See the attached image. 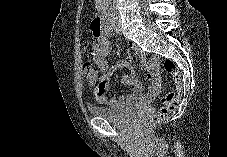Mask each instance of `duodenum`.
Returning <instances> with one entry per match:
<instances>
[{"label":"duodenum","instance_id":"410a0bca","mask_svg":"<svg viewBox=\"0 0 227 157\" xmlns=\"http://www.w3.org/2000/svg\"><path fill=\"white\" fill-rule=\"evenodd\" d=\"M108 29V23L105 16L101 13L94 20V25H90V30H97L98 32Z\"/></svg>","mask_w":227,"mask_h":157}]
</instances>
